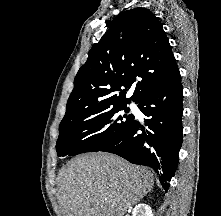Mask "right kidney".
<instances>
[{"label":"right kidney","instance_id":"obj_1","mask_svg":"<svg viewBox=\"0 0 221 216\" xmlns=\"http://www.w3.org/2000/svg\"><path fill=\"white\" fill-rule=\"evenodd\" d=\"M132 216H153L152 209L147 204H139L133 210Z\"/></svg>","mask_w":221,"mask_h":216}]
</instances>
